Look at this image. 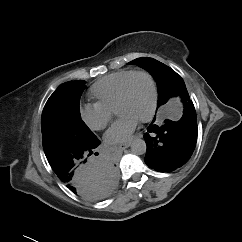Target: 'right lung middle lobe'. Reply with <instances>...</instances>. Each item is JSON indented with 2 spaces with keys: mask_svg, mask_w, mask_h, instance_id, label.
<instances>
[{
  "mask_svg": "<svg viewBox=\"0 0 242 242\" xmlns=\"http://www.w3.org/2000/svg\"><path fill=\"white\" fill-rule=\"evenodd\" d=\"M85 83L79 80L62 84L45 104L41 129L48 161L58 154L89 147L97 140L80 116L79 102Z\"/></svg>",
  "mask_w": 242,
  "mask_h": 242,
  "instance_id": "1",
  "label": "right lung middle lobe"
}]
</instances>
